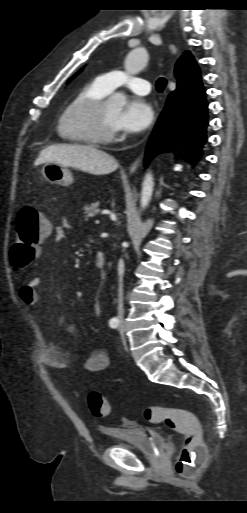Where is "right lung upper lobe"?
<instances>
[{"mask_svg":"<svg viewBox=\"0 0 247 513\" xmlns=\"http://www.w3.org/2000/svg\"><path fill=\"white\" fill-rule=\"evenodd\" d=\"M174 71L178 80L176 90L188 91L201 84L200 70L189 51L179 58Z\"/></svg>","mask_w":247,"mask_h":513,"instance_id":"cb5924a9","label":"right lung upper lobe"}]
</instances>
